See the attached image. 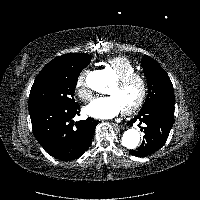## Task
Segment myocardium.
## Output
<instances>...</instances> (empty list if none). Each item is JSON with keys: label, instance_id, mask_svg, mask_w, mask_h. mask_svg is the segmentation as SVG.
<instances>
[{"label": "myocardium", "instance_id": "obj_1", "mask_svg": "<svg viewBox=\"0 0 200 200\" xmlns=\"http://www.w3.org/2000/svg\"><path fill=\"white\" fill-rule=\"evenodd\" d=\"M133 81H138L140 83L141 93L138 100L132 106L123 110L124 113L127 115L133 114L137 112L138 110H140L142 106L144 105L147 95H148L147 79L143 74L139 72H133V73H130L118 78L116 81V85L118 87H124Z\"/></svg>", "mask_w": 200, "mask_h": 200}]
</instances>
